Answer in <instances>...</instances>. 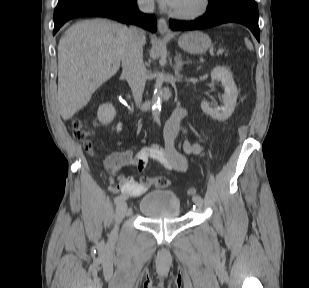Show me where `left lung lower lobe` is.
<instances>
[{
    "label": "left lung lower lobe",
    "instance_id": "left-lung-lower-lobe-1",
    "mask_svg": "<svg viewBox=\"0 0 309 288\" xmlns=\"http://www.w3.org/2000/svg\"><path fill=\"white\" fill-rule=\"evenodd\" d=\"M227 22H237L247 26L259 39L258 9L254 0H220L208 6V11L195 21L170 20L172 30H196Z\"/></svg>",
    "mask_w": 309,
    "mask_h": 288
}]
</instances>
